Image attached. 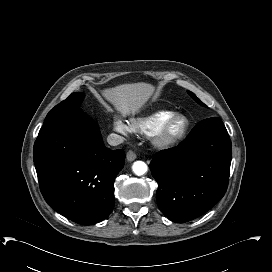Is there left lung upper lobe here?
Returning a JSON list of instances; mask_svg holds the SVG:
<instances>
[{"instance_id": "5c2ea615", "label": "left lung upper lobe", "mask_w": 272, "mask_h": 272, "mask_svg": "<svg viewBox=\"0 0 272 272\" xmlns=\"http://www.w3.org/2000/svg\"><path fill=\"white\" fill-rule=\"evenodd\" d=\"M188 94H189V95H190L197 103H199V104L202 105V106H206L200 99H198V98L196 97V95H195L194 93L188 91Z\"/></svg>"}]
</instances>
